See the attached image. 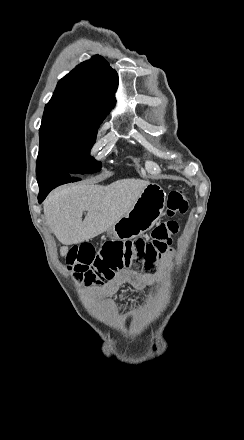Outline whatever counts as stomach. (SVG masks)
<instances>
[{"mask_svg": "<svg viewBox=\"0 0 244 440\" xmlns=\"http://www.w3.org/2000/svg\"><path fill=\"white\" fill-rule=\"evenodd\" d=\"M166 204V192L158 184L142 190L133 208L113 224L107 234L113 240H133L151 230L159 222Z\"/></svg>", "mask_w": 244, "mask_h": 440, "instance_id": "stomach-1", "label": "stomach"}]
</instances>
